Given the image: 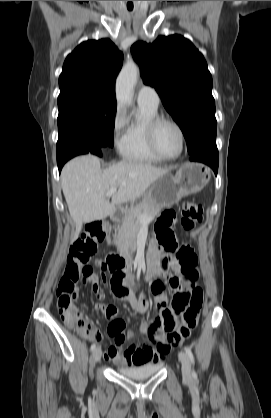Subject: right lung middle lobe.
Wrapping results in <instances>:
<instances>
[{
	"instance_id": "1",
	"label": "right lung middle lobe",
	"mask_w": 271,
	"mask_h": 418,
	"mask_svg": "<svg viewBox=\"0 0 271 418\" xmlns=\"http://www.w3.org/2000/svg\"><path fill=\"white\" fill-rule=\"evenodd\" d=\"M58 108L57 154L113 147L116 105L68 101Z\"/></svg>"
}]
</instances>
